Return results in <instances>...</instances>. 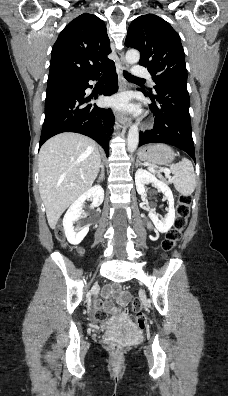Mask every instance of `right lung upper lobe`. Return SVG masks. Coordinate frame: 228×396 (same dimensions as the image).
<instances>
[{
	"mask_svg": "<svg viewBox=\"0 0 228 396\" xmlns=\"http://www.w3.org/2000/svg\"><path fill=\"white\" fill-rule=\"evenodd\" d=\"M105 23L95 15L82 14L59 34L51 52L47 83L90 79L114 62Z\"/></svg>",
	"mask_w": 228,
	"mask_h": 396,
	"instance_id": "obj_1",
	"label": "right lung upper lobe"
}]
</instances>
